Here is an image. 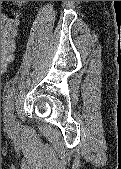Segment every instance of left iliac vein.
Instances as JSON below:
<instances>
[{
    "mask_svg": "<svg viewBox=\"0 0 121 169\" xmlns=\"http://www.w3.org/2000/svg\"><path fill=\"white\" fill-rule=\"evenodd\" d=\"M9 122L12 126H16V121L13 117L9 119Z\"/></svg>",
    "mask_w": 121,
    "mask_h": 169,
    "instance_id": "1",
    "label": "left iliac vein"
}]
</instances>
